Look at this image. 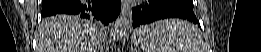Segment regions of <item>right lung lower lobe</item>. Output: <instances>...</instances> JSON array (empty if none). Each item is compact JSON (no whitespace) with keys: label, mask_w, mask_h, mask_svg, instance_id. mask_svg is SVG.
I'll use <instances>...</instances> for the list:
<instances>
[{"label":"right lung lower lobe","mask_w":261,"mask_h":52,"mask_svg":"<svg viewBox=\"0 0 261 52\" xmlns=\"http://www.w3.org/2000/svg\"><path fill=\"white\" fill-rule=\"evenodd\" d=\"M120 10V0H42L43 17L70 14L89 17L102 26L115 20Z\"/></svg>","instance_id":"obj_1"}]
</instances>
